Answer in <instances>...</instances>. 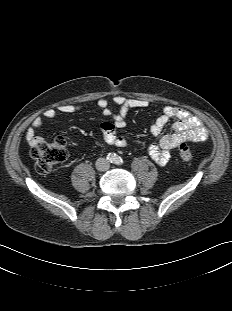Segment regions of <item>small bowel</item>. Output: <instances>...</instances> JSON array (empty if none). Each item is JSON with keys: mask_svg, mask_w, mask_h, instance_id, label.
I'll list each match as a JSON object with an SVG mask.
<instances>
[{"mask_svg": "<svg viewBox=\"0 0 232 311\" xmlns=\"http://www.w3.org/2000/svg\"><path fill=\"white\" fill-rule=\"evenodd\" d=\"M113 104L117 107L114 111L109 107V101L101 98L97 102V107L104 116L111 117L113 122H104L101 124L104 140L109 145L126 147L127 138L118 133L117 129H123L126 126V118L132 109L144 108L148 102L143 99L128 98L123 95H117L113 98ZM81 107L73 104H62L56 108H49L43 112L47 119H55L60 114H73L79 112ZM174 119L172 131L159 139L158 142L149 146V155L158 165L164 166L170 159L172 149L186 142H200L208 137V130L199 117L188 110L175 106H166L162 109L160 115L156 118L150 127V133L153 136H159L170 120ZM43 125V119L36 117L32 125L26 130L25 138L27 143L33 147L38 142L46 141L36 132Z\"/></svg>", "mask_w": 232, "mask_h": 311, "instance_id": "1", "label": "small bowel"}]
</instances>
